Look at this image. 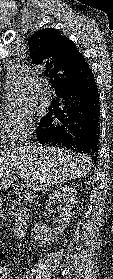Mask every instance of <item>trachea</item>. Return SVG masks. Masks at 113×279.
<instances>
[{"mask_svg": "<svg viewBox=\"0 0 113 279\" xmlns=\"http://www.w3.org/2000/svg\"><path fill=\"white\" fill-rule=\"evenodd\" d=\"M50 83H51V84H53V83H54V81L51 79V80H50Z\"/></svg>", "mask_w": 113, "mask_h": 279, "instance_id": "trachea-1", "label": "trachea"}]
</instances>
